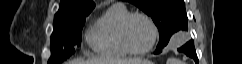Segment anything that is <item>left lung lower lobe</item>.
<instances>
[{"label":"left lung lower lobe","instance_id":"left-lung-lower-lobe-1","mask_svg":"<svg viewBox=\"0 0 242 64\" xmlns=\"http://www.w3.org/2000/svg\"><path fill=\"white\" fill-rule=\"evenodd\" d=\"M164 50V48H158L155 50V54H159ZM179 52L185 53L187 56L194 59L195 63L198 64V57L195 51L194 42L190 40L185 45L178 49Z\"/></svg>","mask_w":242,"mask_h":64}]
</instances>
